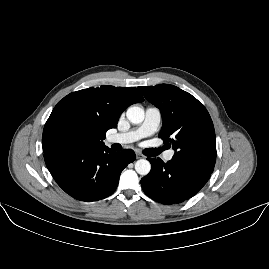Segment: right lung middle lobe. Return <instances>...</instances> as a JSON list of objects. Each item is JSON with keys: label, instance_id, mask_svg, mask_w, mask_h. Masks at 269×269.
Wrapping results in <instances>:
<instances>
[{"label": "right lung middle lobe", "instance_id": "1", "mask_svg": "<svg viewBox=\"0 0 269 269\" xmlns=\"http://www.w3.org/2000/svg\"><path fill=\"white\" fill-rule=\"evenodd\" d=\"M85 142H87V143H91V142H89V141H84V142H82V143H85Z\"/></svg>", "mask_w": 269, "mask_h": 269}]
</instances>
